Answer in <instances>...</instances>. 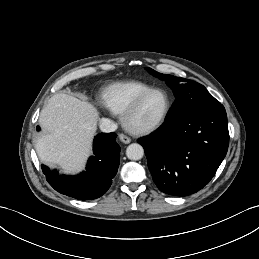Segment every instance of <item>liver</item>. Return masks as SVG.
Masks as SVG:
<instances>
[{"label": "liver", "instance_id": "1", "mask_svg": "<svg viewBox=\"0 0 259 259\" xmlns=\"http://www.w3.org/2000/svg\"><path fill=\"white\" fill-rule=\"evenodd\" d=\"M98 117L97 109L86 101L64 93L53 95L39 117L45 132L36 142L40 160L58 165L67 174L84 170Z\"/></svg>", "mask_w": 259, "mask_h": 259}]
</instances>
